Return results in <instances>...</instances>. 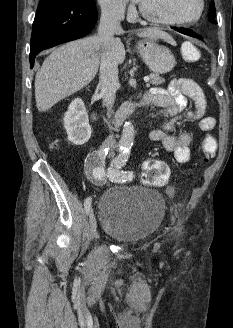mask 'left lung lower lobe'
<instances>
[{
    "label": "left lung lower lobe",
    "mask_w": 233,
    "mask_h": 328,
    "mask_svg": "<svg viewBox=\"0 0 233 328\" xmlns=\"http://www.w3.org/2000/svg\"><path fill=\"white\" fill-rule=\"evenodd\" d=\"M173 29L180 32V33H182V34H185V35H188V36H191V37L202 38L200 35L196 34L193 31H190V30H186V29H183V28H173Z\"/></svg>",
    "instance_id": "0a47b994"
}]
</instances>
